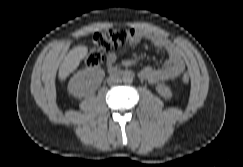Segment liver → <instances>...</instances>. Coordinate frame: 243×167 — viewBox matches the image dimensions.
<instances>
[{
    "instance_id": "liver-1",
    "label": "liver",
    "mask_w": 243,
    "mask_h": 167,
    "mask_svg": "<svg viewBox=\"0 0 243 167\" xmlns=\"http://www.w3.org/2000/svg\"><path fill=\"white\" fill-rule=\"evenodd\" d=\"M88 48L85 45L73 47L65 56L60 68L58 77L60 80L66 79L70 73L77 69L80 62L86 57Z\"/></svg>"
}]
</instances>
